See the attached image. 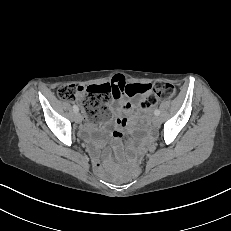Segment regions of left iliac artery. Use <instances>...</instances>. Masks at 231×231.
I'll list each match as a JSON object with an SVG mask.
<instances>
[{"mask_svg":"<svg viewBox=\"0 0 231 231\" xmlns=\"http://www.w3.org/2000/svg\"><path fill=\"white\" fill-rule=\"evenodd\" d=\"M154 114H155L156 116H158V115L160 114V111H159L158 109H156V110L154 111Z\"/></svg>","mask_w":231,"mask_h":231,"instance_id":"obj_1","label":"left iliac artery"}]
</instances>
